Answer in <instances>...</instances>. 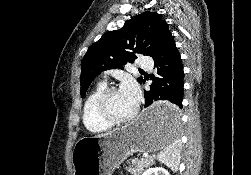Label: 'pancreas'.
Masks as SVG:
<instances>
[{
	"label": "pancreas",
	"mask_w": 251,
	"mask_h": 175,
	"mask_svg": "<svg viewBox=\"0 0 251 175\" xmlns=\"http://www.w3.org/2000/svg\"><path fill=\"white\" fill-rule=\"evenodd\" d=\"M138 155H140V153H138ZM152 159L153 155H147V157H142V155H140V159L134 157V159L127 161V163H132V165H130V167H126V169L127 171H131L133 175H140L144 167H149V165H152Z\"/></svg>",
	"instance_id": "cf45deb5"
}]
</instances>
